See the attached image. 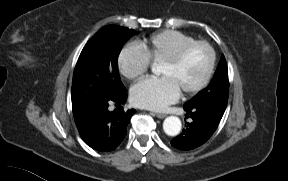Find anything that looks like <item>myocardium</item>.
I'll use <instances>...</instances> for the list:
<instances>
[{"mask_svg": "<svg viewBox=\"0 0 288 181\" xmlns=\"http://www.w3.org/2000/svg\"><path fill=\"white\" fill-rule=\"evenodd\" d=\"M197 46H204L206 47L211 55V60H210V65L209 68L207 70V73L205 74L204 78L195 86L183 90L182 94L183 95H191V94H195L199 91H201L202 89H204L210 82L214 71H215V67H216V62H217V53L215 48L207 41H194L192 43H189L183 47H181L178 51H176L172 56L163 59L160 63L161 64H165V65H176L178 64L183 58L184 56L193 48L197 47Z\"/></svg>", "mask_w": 288, "mask_h": 181, "instance_id": "obj_1", "label": "myocardium"}]
</instances>
